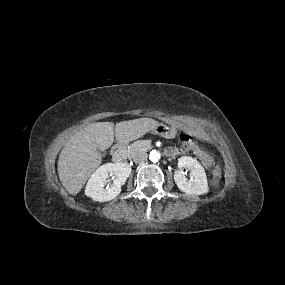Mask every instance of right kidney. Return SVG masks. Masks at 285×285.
Listing matches in <instances>:
<instances>
[{
    "label": "right kidney",
    "instance_id": "right-kidney-1",
    "mask_svg": "<svg viewBox=\"0 0 285 285\" xmlns=\"http://www.w3.org/2000/svg\"><path fill=\"white\" fill-rule=\"evenodd\" d=\"M130 173L131 167L127 163L104 164L91 175L85 187V194L94 201H110L120 194L121 186L124 185ZM109 176H114L115 179L110 187H106Z\"/></svg>",
    "mask_w": 285,
    "mask_h": 285
}]
</instances>
